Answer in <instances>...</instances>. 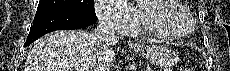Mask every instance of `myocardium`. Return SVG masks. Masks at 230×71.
I'll return each mask as SVG.
<instances>
[{"label": "myocardium", "instance_id": "obj_1", "mask_svg": "<svg viewBox=\"0 0 230 71\" xmlns=\"http://www.w3.org/2000/svg\"><path fill=\"white\" fill-rule=\"evenodd\" d=\"M160 0H146L140 4L141 20L147 32L159 38L169 40H181L189 37L195 29V21L190 11L179 0H170V2L161 5L159 8L163 11H175L181 13L187 20V29L184 32H174L162 27L151 15L153 6Z\"/></svg>", "mask_w": 230, "mask_h": 71}]
</instances>
